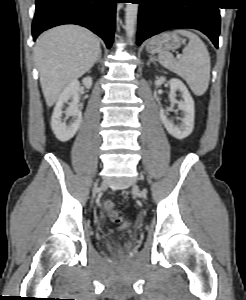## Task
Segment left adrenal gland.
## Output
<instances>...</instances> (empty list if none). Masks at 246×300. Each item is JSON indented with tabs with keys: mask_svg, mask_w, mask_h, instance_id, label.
<instances>
[{
	"mask_svg": "<svg viewBox=\"0 0 246 300\" xmlns=\"http://www.w3.org/2000/svg\"><path fill=\"white\" fill-rule=\"evenodd\" d=\"M150 63H153L156 65V62L154 61L152 56L149 57V61H148L147 65H150Z\"/></svg>",
	"mask_w": 246,
	"mask_h": 300,
	"instance_id": "a2214340",
	"label": "left adrenal gland"
}]
</instances>
